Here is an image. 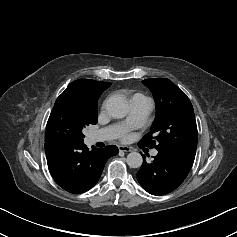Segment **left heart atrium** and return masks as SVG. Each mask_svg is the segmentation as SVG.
<instances>
[{"instance_id":"39dd6f15","label":"left heart atrium","mask_w":237,"mask_h":237,"mask_svg":"<svg viewBox=\"0 0 237 237\" xmlns=\"http://www.w3.org/2000/svg\"><path fill=\"white\" fill-rule=\"evenodd\" d=\"M127 139H128V136H125V137H124V140H127Z\"/></svg>"}]
</instances>
